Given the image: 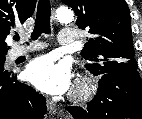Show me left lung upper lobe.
Returning <instances> with one entry per match:
<instances>
[{"label": "left lung upper lobe", "instance_id": "left-lung-upper-lobe-1", "mask_svg": "<svg viewBox=\"0 0 142 119\" xmlns=\"http://www.w3.org/2000/svg\"><path fill=\"white\" fill-rule=\"evenodd\" d=\"M77 15L76 25L92 37L81 54L87 70L97 76L136 67L130 12L125 0H62Z\"/></svg>", "mask_w": 142, "mask_h": 119}]
</instances>
